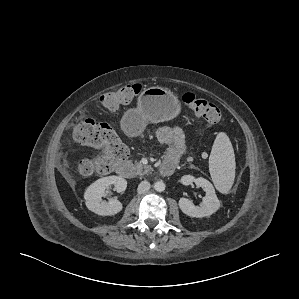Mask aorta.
<instances>
[{
  "label": "aorta",
  "instance_id": "obj_1",
  "mask_svg": "<svg viewBox=\"0 0 299 299\" xmlns=\"http://www.w3.org/2000/svg\"><path fill=\"white\" fill-rule=\"evenodd\" d=\"M165 183L163 181H157L154 183V189L158 192H162L165 190Z\"/></svg>",
  "mask_w": 299,
  "mask_h": 299
}]
</instances>
